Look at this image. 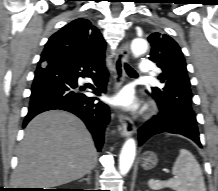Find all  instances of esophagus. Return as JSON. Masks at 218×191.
Returning <instances> with one entry per match:
<instances>
[{"label":"esophagus","instance_id":"esophagus-1","mask_svg":"<svg viewBox=\"0 0 218 191\" xmlns=\"http://www.w3.org/2000/svg\"><path fill=\"white\" fill-rule=\"evenodd\" d=\"M129 43L121 45L118 49V53L114 60V78H115V90L118 91L125 81V70L124 63L128 61L129 58ZM120 122V133L122 136L127 137L135 132V126L133 121L122 113L118 115Z\"/></svg>","mask_w":218,"mask_h":191}]
</instances>
